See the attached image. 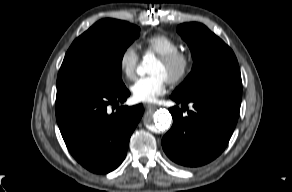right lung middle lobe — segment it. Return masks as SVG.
<instances>
[{"label":"right lung middle lobe","instance_id":"dd1d6c3e","mask_svg":"<svg viewBox=\"0 0 292 192\" xmlns=\"http://www.w3.org/2000/svg\"><path fill=\"white\" fill-rule=\"evenodd\" d=\"M138 31L139 27L125 21L108 18L96 22L68 49L57 83L79 81L108 91L122 89V57Z\"/></svg>","mask_w":292,"mask_h":192}]
</instances>
